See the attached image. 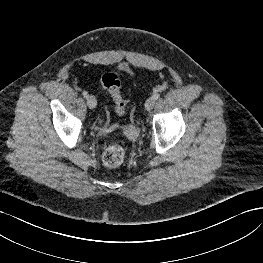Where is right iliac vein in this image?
Masks as SVG:
<instances>
[{
    "label": "right iliac vein",
    "instance_id": "1",
    "mask_svg": "<svg viewBox=\"0 0 263 263\" xmlns=\"http://www.w3.org/2000/svg\"><path fill=\"white\" fill-rule=\"evenodd\" d=\"M87 105L89 108L94 109L97 105V100L93 95L87 97Z\"/></svg>",
    "mask_w": 263,
    "mask_h": 263
}]
</instances>
